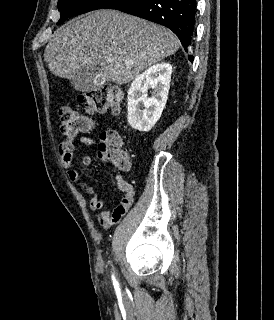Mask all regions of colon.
I'll return each mask as SVG.
<instances>
[{
	"label": "colon",
	"mask_w": 274,
	"mask_h": 320,
	"mask_svg": "<svg viewBox=\"0 0 274 320\" xmlns=\"http://www.w3.org/2000/svg\"><path fill=\"white\" fill-rule=\"evenodd\" d=\"M117 90L113 86L94 88L84 91L78 101L88 113H104L116 106ZM61 128L65 136L81 134L84 130V120H91L88 114L71 106H62L58 113ZM98 150L106 155L108 160L118 168L128 166V159L124 153L123 141L115 131H104L99 136Z\"/></svg>",
	"instance_id": "colon-1"
}]
</instances>
